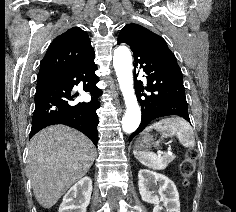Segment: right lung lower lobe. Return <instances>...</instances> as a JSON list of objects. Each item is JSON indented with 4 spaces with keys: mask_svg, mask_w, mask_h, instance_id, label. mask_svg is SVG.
<instances>
[{
    "mask_svg": "<svg viewBox=\"0 0 236 212\" xmlns=\"http://www.w3.org/2000/svg\"><path fill=\"white\" fill-rule=\"evenodd\" d=\"M94 56L92 53L72 69L38 75L30 137L47 126L65 124L81 131L97 145L96 110L100 107L101 91L96 87L99 78L95 74ZM78 84L91 95L90 102H77L78 94H71Z\"/></svg>",
    "mask_w": 236,
    "mask_h": 212,
    "instance_id": "1",
    "label": "right lung lower lobe"
}]
</instances>
